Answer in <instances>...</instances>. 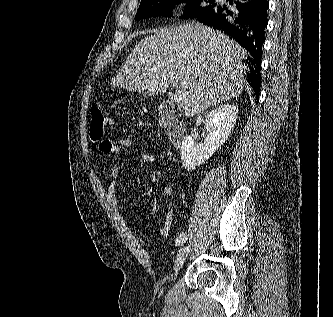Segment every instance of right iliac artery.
Listing matches in <instances>:
<instances>
[{"label":"right iliac artery","mask_w":333,"mask_h":317,"mask_svg":"<svg viewBox=\"0 0 333 317\" xmlns=\"http://www.w3.org/2000/svg\"><path fill=\"white\" fill-rule=\"evenodd\" d=\"M187 240V235L186 234H181L179 237H177L175 244L176 246L182 245L185 241Z\"/></svg>","instance_id":"obj_1"}]
</instances>
